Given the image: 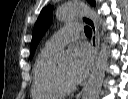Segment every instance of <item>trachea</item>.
Instances as JSON below:
<instances>
[{"label": "trachea", "instance_id": "obj_1", "mask_svg": "<svg viewBox=\"0 0 128 99\" xmlns=\"http://www.w3.org/2000/svg\"><path fill=\"white\" fill-rule=\"evenodd\" d=\"M84 31L86 35H90V36L92 35V29L90 27L85 26Z\"/></svg>", "mask_w": 128, "mask_h": 99}]
</instances>
